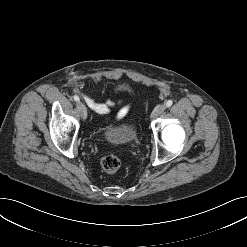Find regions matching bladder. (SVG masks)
I'll return each mask as SVG.
<instances>
[{"label": "bladder", "mask_w": 247, "mask_h": 247, "mask_svg": "<svg viewBox=\"0 0 247 247\" xmlns=\"http://www.w3.org/2000/svg\"><path fill=\"white\" fill-rule=\"evenodd\" d=\"M105 139L110 143L127 144L137 138V130L133 123L110 127L105 131Z\"/></svg>", "instance_id": "bladder-1"}]
</instances>
